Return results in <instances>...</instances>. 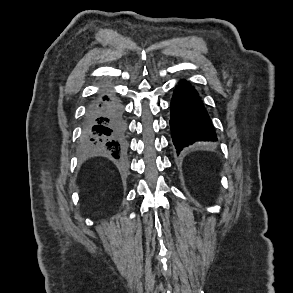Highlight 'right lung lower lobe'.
<instances>
[{"mask_svg":"<svg viewBox=\"0 0 293 293\" xmlns=\"http://www.w3.org/2000/svg\"><path fill=\"white\" fill-rule=\"evenodd\" d=\"M126 122L121 104L110 95H100L88 106L83 140L88 145L112 152L116 159L126 147Z\"/></svg>","mask_w":293,"mask_h":293,"instance_id":"1","label":"right lung lower lobe"}]
</instances>
